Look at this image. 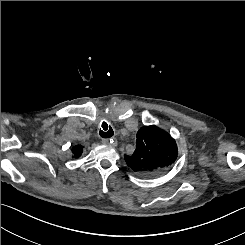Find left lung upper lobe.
<instances>
[{"label": "left lung upper lobe", "instance_id": "1", "mask_svg": "<svg viewBox=\"0 0 245 245\" xmlns=\"http://www.w3.org/2000/svg\"><path fill=\"white\" fill-rule=\"evenodd\" d=\"M136 149L124 155L126 164L142 177H153L166 172L177 159L175 140L157 126L141 127L136 134Z\"/></svg>", "mask_w": 245, "mask_h": 245}]
</instances>
